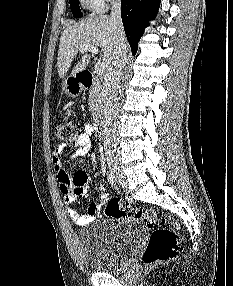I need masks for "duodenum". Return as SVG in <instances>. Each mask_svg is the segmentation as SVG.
Returning a JSON list of instances; mask_svg holds the SVG:
<instances>
[{
	"label": "duodenum",
	"mask_w": 233,
	"mask_h": 286,
	"mask_svg": "<svg viewBox=\"0 0 233 286\" xmlns=\"http://www.w3.org/2000/svg\"><path fill=\"white\" fill-rule=\"evenodd\" d=\"M76 80L80 86L89 89L95 84V77L90 71H81L77 74ZM96 130L100 136L106 134V124L102 118H99L96 122Z\"/></svg>",
	"instance_id": "duodenum-1"
}]
</instances>
